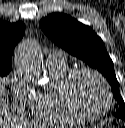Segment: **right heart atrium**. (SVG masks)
Returning a JSON list of instances; mask_svg holds the SVG:
<instances>
[{"label":"right heart atrium","mask_w":125,"mask_h":128,"mask_svg":"<svg viewBox=\"0 0 125 128\" xmlns=\"http://www.w3.org/2000/svg\"><path fill=\"white\" fill-rule=\"evenodd\" d=\"M13 104L21 109L30 107L36 91L28 76L21 70H15L10 76Z\"/></svg>","instance_id":"1"}]
</instances>
